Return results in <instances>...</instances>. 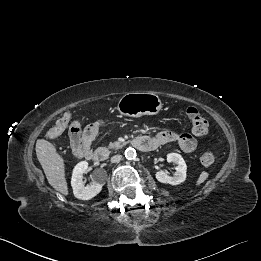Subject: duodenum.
Wrapping results in <instances>:
<instances>
[{
    "label": "duodenum",
    "mask_w": 261,
    "mask_h": 261,
    "mask_svg": "<svg viewBox=\"0 0 261 261\" xmlns=\"http://www.w3.org/2000/svg\"><path fill=\"white\" fill-rule=\"evenodd\" d=\"M134 144L139 150L144 152L152 151L156 148V146L151 141L142 137L136 138L134 140ZM83 156L95 162H103L108 158L109 152L107 149H101L97 151L87 150L83 152Z\"/></svg>",
    "instance_id": "obj_1"
}]
</instances>
